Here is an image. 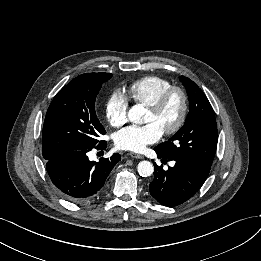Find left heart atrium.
<instances>
[{
    "label": "left heart atrium",
    "instance_id": "obj_1",
    "mask_svg": "<svg viewBox=\"0 0 261 261\" xmlns=\"http://www.w3.org/2000/svg\"><path fill=\"white\" fill-rule=\"evenodd\" d=\"M161 137L162 130L154 123L142 126L130 125L116 133L115 145L121 150L141 152Z\"/></svg>",
    "mask_w": 261,
    "mask_h": 261
}]
</instances>
